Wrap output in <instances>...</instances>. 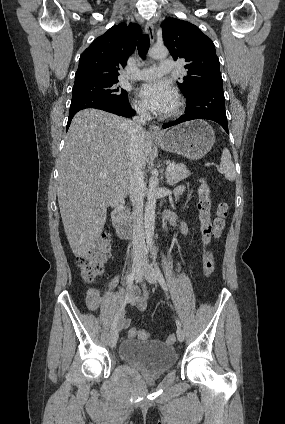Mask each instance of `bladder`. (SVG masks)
Listing matches in <instances>:
<instances>
[{
    "mask_svg": "<svg viewBox=\"0 0 285 424\" xmlns=\"http://www.w3.org/2000/svg\"><path fill=\"white\" fill-rule=\"evenodd\" d=\"M120 359L149 374L170 370L177 360L176 350L160 340H124L119 346Z\"/></svg>",
    "mask_w": 285,
    "mask_h": 424,
    "instance_id": "31cf9c89",
    "label": "bladder"
}]
</instances>
